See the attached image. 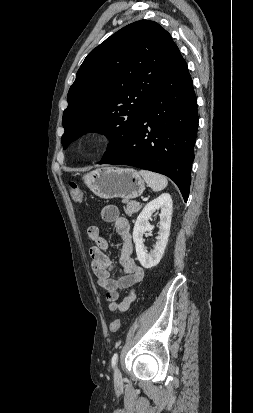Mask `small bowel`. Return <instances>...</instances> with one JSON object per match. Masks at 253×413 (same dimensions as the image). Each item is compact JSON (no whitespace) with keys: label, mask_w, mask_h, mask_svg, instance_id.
I'll return each mask as SVG.
<instances>
[{"label":"small bowel","mask_w":253,"mask_h":413,"mask_svg":"<svg viewBox=\"0 0 253 413\" xmlns=\"http://www.w3.org/2000/svg\"><path fill=\"white\" fill-rule=\"evenodd\" d=\"M102 219L115 226L117 234L121 238L119 264L124 275L115 278V264L107 255L109 244L97 226L87 229L89 241L93 244L89 253L91 257V268L97 277L99 286L106 290L108 309L112 312H125L137 297L136 286L144 278L143 268L133 259V243L130 234V226L124 217L120 216L119 210L114 205H107L101 211ZM126 290L125 297L119 300V291Z\"/></svg>","instance_id":"obj_1"}]
</instances>
